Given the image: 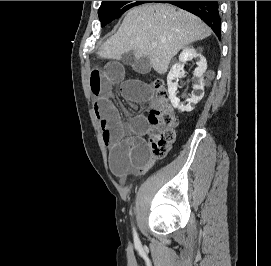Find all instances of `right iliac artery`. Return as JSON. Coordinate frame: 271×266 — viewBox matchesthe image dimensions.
<instances>
[{"mask_svg":"<svg viewBox=\"0 0 271 266\" xmlns=\"http://www.w3.org/2000/svg\"><path fill=\"white\" fill-rule=\"evenodd\" d=\"M134 239H135V241H138V237H137L135 230H134Z\"/></svg>","mask_w":271,"mask_h":266,"instance_id":"82829eb1","label":"right iliac artery"}]
</instances>
